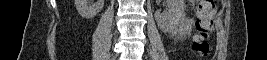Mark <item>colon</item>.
<instances>
[{"label":"colon","mask_w":267,"mask_h":60,"mask_svg":"<svg viewBox=\"0 0 267 60\" xmlns=\"http://www.w3.org/2000/svg\"><path fill=\"white\" fill-rule=\"evenodd\" d=\"M196 7V35L193 38V50L201 57L209 54V38L213 27V17L216 11L215 0H200Z\"/></svg>","instance_id":"1"}]
</instances>
